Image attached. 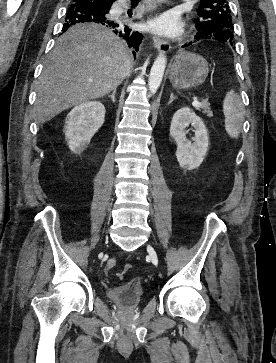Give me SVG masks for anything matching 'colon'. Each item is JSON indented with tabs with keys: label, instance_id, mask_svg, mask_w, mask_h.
I'll list each match as a JSON object with an SVG mask.
<instances>
[{
	"label": "colon",
	"instance_id": "5ec220e1",
	"mask_svg": "<svg viewBox=\"0 0 276 363\" xmlns=\"http://www.w3.org/2000/svg\"><path fill=\"white\" fill-rule=\"evenodd\" d=\"M130 268H131V265H126L125 268H124V271H128ZM137 283H138V281L135 280L134 284H137Z\"/></svg>",
	"mask_w": 276,
	"mask_h": 363
}]
</instances>
